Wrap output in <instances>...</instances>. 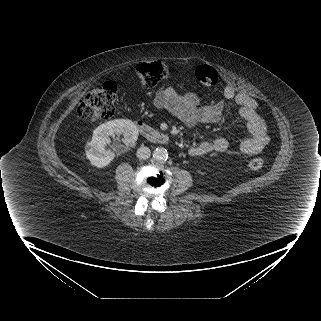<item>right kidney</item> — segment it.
Segmentation results:
<instances>
[{"label": "right kidney", "instance_id": "ca27d5eb", "mask_svg": "<svg viewBox=\"0 0 321 321\" xmlns=\"http://www.w3.org/2000/svg\"><path fill=\"white\" fill-rule=\"evenodd\" d=\"M138 129L128 119H115L98 126L92 136V140L86 145V157L93 166L102 168L113 159L114 153L106 149L110 143V136L123 135V142L132 145L137 141Z\"/></svg>", "mask_w": 321, "mask_h": 321}]
</instances>
